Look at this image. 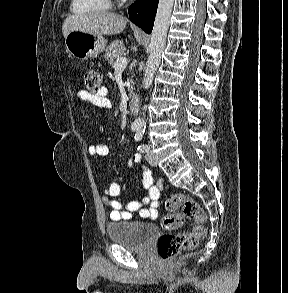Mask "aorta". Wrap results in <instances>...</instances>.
I'll return each mask as SVG.
<instances>
[{
    "label": "aorta",
    "instance_id": "1",
    "mask_svg": "<svg viewBox=\"0 0 288 293\" xmlns=\"http://www.w3.org/2000/svg\"><path fill=\"white\" fill-rule=\"evenodd\" d=\"M173 4L174 0H159L154 26L151 33L149 57L142 80V87L144 89H148L151 86L155 73L158 69L170 24ZM134 126L137 130L143 131L146 127L145 119L138 117L134 121Z\"/></svg>",
    "mask_w": 288,
    "mask_h": 293
}]
</instances>
